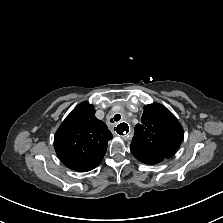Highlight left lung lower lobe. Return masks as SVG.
<instances>
[{"instance_id":"left-lung-lower-lobe-1","label":"left lung lower lobe","mask_w":223,"mask_h":223,"mask_svg":"<svg viewBox=\"0 0 223 223\" xmlns=\"http://www.w3.org/2000/svg\"><path fill=\"white\" fill-rule=\"evenodd\" d=\"M131 152L137 160L145 164H156L164 160V158L154 155H149L134 149H131Z\"/></svg>"}]
</instances>
